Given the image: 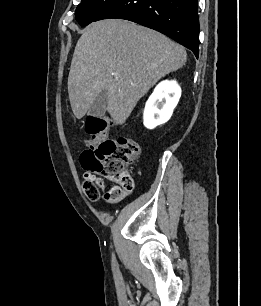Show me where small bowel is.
<instances>
[{
  "label": "small bowel",
  "mask_w": 261,
  "mask_h": 306,
  "mask_svg": "<svg viewBox=\"0 0 261 306\" xmlns=\"http://www.w3.org/2000/svg\"><path fill=\"white\" fill-rule=\"evenodd\" d=\"M130 192H131L130 189H120L118 193L110 200H116V201L122 200L125 197H127L130 194Z\"/></svg>",
  "instance_id": "obj_1"
}]
</instances>
